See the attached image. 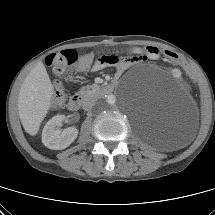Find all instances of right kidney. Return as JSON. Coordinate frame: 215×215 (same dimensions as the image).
<instances>
[{
	"mask_svg": "<svg viewBox=\"0 0 215 215\" xmlns=\"http://www.w3.org/2000/svg\"><path fill=\"white\" fill-rule=\"evenodd\" d=\"M64 119V115H56L44 126L42 143L47 148L62 150L67 148L77 138L78 130L75 127H69L63 131L59 129Z\"/></svg>",
	"mask_w": 215,
	"mask_h": 215,
	"instance_id": "obj_1",
	"label": "right kidney"
}]
</instances>
